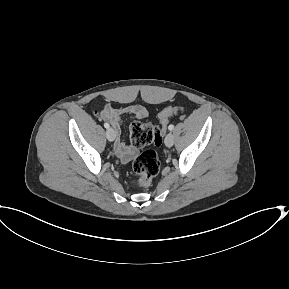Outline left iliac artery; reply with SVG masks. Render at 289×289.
Wrapping results in <instances>:
<instances>
[{
	"mask_svg": "<svg viewBox=\"0 0 289 289\" xmlns=\"http://www.w3.org/2000/svg\"><path fill=\"white\" fill-rule=\"evenodd\" d=\"M168 129L170 130V131H172L173 129H174V125H169V127H168Z\"/></svg>",
	"mask_w": 289,
	"mask_h": 289,
	"instance_id": "obj_1",
	"label": "left iliac artery"
}]
</instances>
